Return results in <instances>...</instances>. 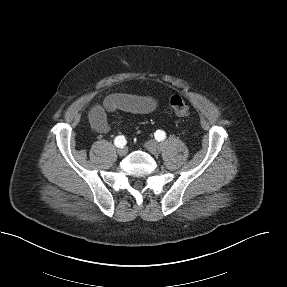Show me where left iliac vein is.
Returning <instances> with one entry per match:
<instances>
[{
    "label": "left iliac vein",
    "mask_w": 287,
    "mask_h": 287,
    "mask_svg": "<svg viewBox=\"0 0 287 287\" xmlns=\"http://www.w3.org/2000/svg\"><path fill=\"white\" fill-rule=\"evenodd\" d=\"M145 148L152 154L158 155L160 152V146L157 141L149 140L145 143Z\"/></svg>",
    "instance_id": "obj_1"
}]
</instances>
